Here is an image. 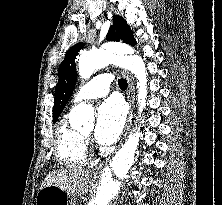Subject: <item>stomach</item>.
<instances>
[{
  "label": "stomach",
  "mask_w": 222,
  "mask_h": 205,
  "mask_svg": "<svg viewBox=\"0 0 222 205\" xmlns=\"http://www.w3.org/2000/svg\"><path fill=\"white\" fill-rule=\"evenodd\" d=\"M36 205H74V199L58 186L49 185L39 190Z\"/></svg>",
  "instance_id": "stomach-1"
}]
</instances>
